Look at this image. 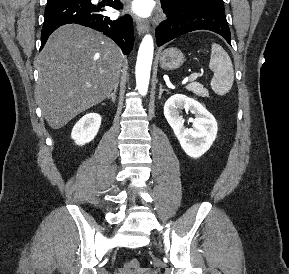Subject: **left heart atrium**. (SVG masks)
<instances>
[{"label": "left heart atrium", "instance_id": "obj_1", "mask_svg": "<svg viewBox=\"0 0 289 274\" xmlns=\"http://www.w3.org/2000/svg\"><path fill=\"white\" fill-rule=\"evenodd\" d=\"M131 9L140 16H147L151 12L150 0H134Z\"/></svg>", "mask_w": 289, "mask_h": 274}]
</instances>
